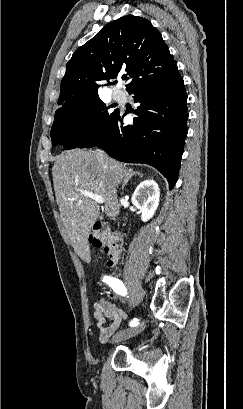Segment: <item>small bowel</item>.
Returning a JSON list of instances; mask_svg holds the SVG:
<instances>
[{
    "label": "small bowel",
    "mask_w": 243,
    "mask_h": 409,
    "mask_svg": "<svg viewBox=\"0 0 243 409\" xmlns=\"http://www.w3.org/2000/svg\"><path fill=\"white\" fill-rule=\"evenodd\" d=\"M93 315L97 320L101 343H106L119 328L121 322L127 318L123 309L105 298H101L95 303ZM107 322L108 324H106Z\"/></svg>",
    "instance_id": "small-bowel-1"
}]
</instances>
